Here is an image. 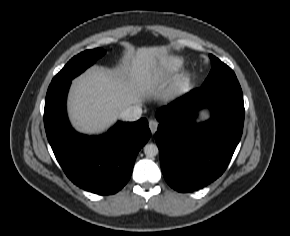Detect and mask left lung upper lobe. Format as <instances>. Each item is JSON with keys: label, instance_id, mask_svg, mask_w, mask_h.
<instances>
[{"label": "left lung upper lobe", "instance_id": "left-lung-upper-lobe-1", "mask_svg": "<svg viewBox=\"0 0 290 236\" xmlns=\"http://www.w3.org/2000/svg\"><path fill=\"white\" fill-rule=\"evenodd\" d=\"M209 57L211 59L212 69L202 86L236 78L233 70L229 68L226 64L221 62L212 54H210Z\"/></svg>", "mask_w": 290, "mask_h": 236}]
</instances>
